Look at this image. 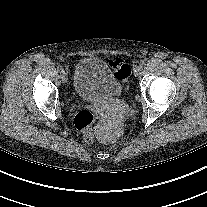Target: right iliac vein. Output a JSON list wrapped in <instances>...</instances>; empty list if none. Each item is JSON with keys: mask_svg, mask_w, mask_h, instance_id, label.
Returning <instances> with one entry per match:
<instances>
[{"mask_svg": "<svg viewBox=\"0 0 207 207\" xmlns=\"http://www.w3.org/2000/svg\"><path fill=\"white\" fill-rule=\"evenodd\" d=\"M61 79H62V82L63 83H66L67 82L68 76H67V73L65 71L62 72Z\"/></svg>", "mask_w": 207, "mask_h": 207, "instance_id": "obj_1", "label": "right iliac vein"}]
</instances>
